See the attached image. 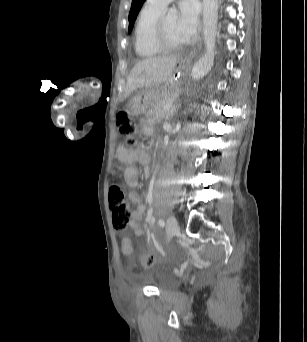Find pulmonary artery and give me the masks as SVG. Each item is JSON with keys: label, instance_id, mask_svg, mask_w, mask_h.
Here are the masks:
<instances>
[{"label": "pulmonary artery", "instance_id": "e3ab8cb5", "mask_svg": "<svg viewBox=\"0 0 307 342\" xmlns=\"http://www.w3.org/2000/svg\"><path fill=\"white\" fill-rule=\"evenodd\" d=\"M173 1H146V6L157 13H162L166 6L169 5Z\"/></svg>", "mask_w": 307, "mask_h": 342}]
</instances>
